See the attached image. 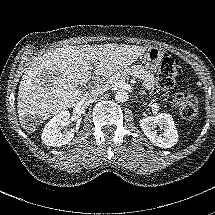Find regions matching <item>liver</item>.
<instances>
[{
	"mask_svg": "<svg viewBox=\"0 0 215 215\" xmlns=\"http://www.w3.org/2000/svg\"><path fill=\"white\" fill-rule=\"evenodd\" d=\"M147 47L108 43L66 45L34 57L20 81L17 112L21 127L32 133L59 112L74 107L83 97L80 86L92 77L109 76L135 62Z\"/></svg>",
	"mask_w": 215,
	"mask_h": 215,
	"instance_id": "1",
	"label": "liver"
}]
</instances>
